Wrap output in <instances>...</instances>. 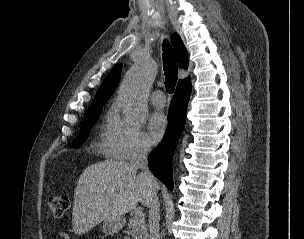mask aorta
<instances>
[{
	"instance_id": "1",
	"label": "aorta",
	"mask_w": 304,
	"mask_h": 239,
	"mask_svg": "<svg viewBox=\"0 0 304 239\" xmlns=\"http://www.w3.org/2000/svg\"><path fill=\"white\" fill-rule=\"evenodd\" d=\"M156 76V66L148 57L126 75L119 90V102L131 121H142L147 113V94Z\"/></svg>"
}]
</instances>
